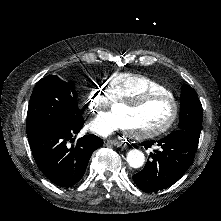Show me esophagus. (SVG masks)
<instances>
[{
    "instance_id": "obj_1",
    "label": "esophagus",
    "mask_w": 221,
    "mask_h": 221,
    "mask_svg": "<svg viewBox=\"0 0 221 221\" xmlns=\"http://www.w3.org/2000/svg\"><path fill=\"white\" fill-rule=\"evenodd\" d=\"M106 144L107 145H112L114 147H123L124 146L123 142H120V141H117V140H107Z\"/></svg>"
}]
</instances>
